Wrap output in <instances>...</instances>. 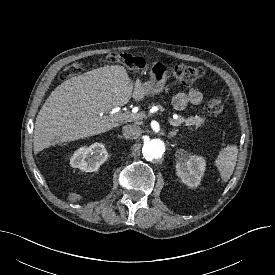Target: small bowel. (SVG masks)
<instances>
[{"instance_id":"obj_1","label":"small bowel","mask_w":275,"mask_h":275,"mask_svg":"<svg viewBox=\"0 0 275 275\" xmlns=\"http://www.w3.org/2000/svg\"><path fill=\"white\" fill-rule=\"evenodd\" d=\"M202 101V93L197 89H191L187 93H179L173 98L176 109H183L187 104H198Z\"/></svg>"}]
</instances>
